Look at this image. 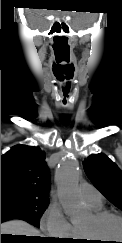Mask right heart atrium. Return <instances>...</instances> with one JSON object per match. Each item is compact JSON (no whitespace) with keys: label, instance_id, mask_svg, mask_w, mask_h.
Instances as JSON below:
<instances>
[{"label":"right heart atrium","instance_id":"d8ad5b80","mask_svg":"<svg viewBox=\"0 0 122 243\" xmlns=\"http://www.w3.org/2000/svg\"><path fill=\"white\" fill-rule=\"evenodd\" d=\"M41 227L48 236L53 238L69 239L76 235L75 227L67 220L61 207L57 204L49 205Z\"/></svg>","mask_w":122,"mask_h":243}]
</instances>
